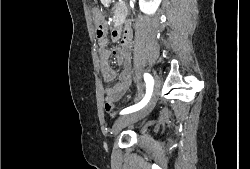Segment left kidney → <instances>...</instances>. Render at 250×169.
<instances>
[{
	"label": "left kidney",
	"instance_id": "5707ae66",
	"mask_svg": "<svg viewBox=\"0 0 250 169\" xmlns=\"http://www.w3.org/2000/svg\"><path fill=\"white\" fill-rule=\"evenodd\" d=\"M160 2L161 0H139V6L142 12H146V14H154Z\"/></svg>",
	"mask_w": 250,
	"mask_h": 169
}]
</instances>
